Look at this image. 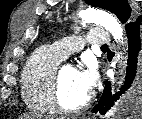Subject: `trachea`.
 Here are the masks:
<instances>
[{
  "instance_id": "1",
  "label": "trachea",
  "mask_w": 142,
  "mask_h": 119,
  "mask_svg": "<svg viewBox=\"0 0 142 119\" xmlns=\"http://www.w3.org/2000/svg\"><path fill=\"white\" fill-rule=\"evenodd\" d=\"M101 49H108V45H102Z\"/></svg>"
}]
</instances>
